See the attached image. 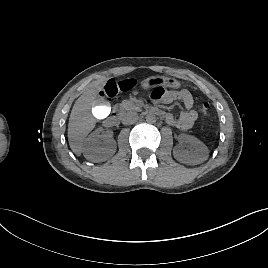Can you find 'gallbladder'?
Returning <instances> with one entry per match:
<instances>
[{"instance_id": "1", "label": "gallbladder", "mask_w": 268, "mask_h": 268, "mask_svg": "<svg viewBox=\"0 0 268 268\" xmlns=\"http://www.w3.org/2000/svg\"><path fill=\"white\" fill-rule=\"evenodd\" d=\"M91 112L96 119L104 120L111 115L112 107L107 100L99 99L92 104Z\"/></svg>"}]
</instances>
